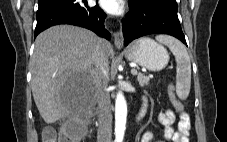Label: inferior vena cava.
<instances>
[{
	"mask_svg": "<svg viewBox=\"0 0 227 142\" xmlns=\"http://www.w3.org/2000/svg\"><path fill=\"white\" fill-rule=\"evenodd\" d=\"M95 66L94 78L99 87V104H98V131L97 142H111L112 139V114L110 99L105 91L107 75L109 71L108 56L97 44L93 49L92 56Z\"/></svg>",
	"mask_w": 227,
	"mask_h": 142,
	"instance_id": "602c4592",
	"label": "inferior vena cava"
}]
</instances>
